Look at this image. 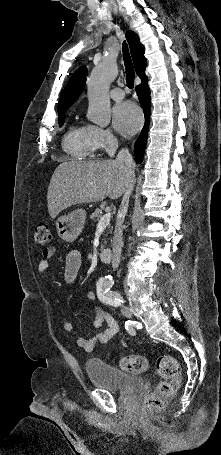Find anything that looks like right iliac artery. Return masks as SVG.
<instances>
[{
    "label": "right iliac artery",
    "instance_id": "obj_1",
    "mask_svg": "<svg viewBox=\"0 0 221 455\" xmlns=\"http://www.w3.org/2000/svg\"><path fill=\"white\" fill-rule=\"evenodd\" d=\"M133 330H134V327L132 325H127L125 327V334H129L130 337H133L134 336V333H133L134 331Z\"/></svg>",
    "mask_w": 221,
    "mask_h": 455
}]
</instances>
